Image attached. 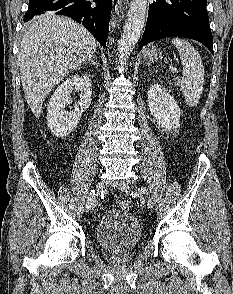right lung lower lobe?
Returning a JSON list of instances; mask_svg holds the SVG:
<instances>
[{
  "label": "right lung lower lobe",
  "instance_id": "1",
  "mask_svg": "<svg viewBox=\"0 0 233 294\" xmlns=\"http://www.w3.org/2000/svg\"><path fill=\"white\" fill-rule=\"evenodd\" d=\"M93 2L88 0H29L24 22L44 13L65 15L84 25L105 47L112 3L111 0H93Z\"/></svg>",
  "mask_w": 233,
  "mask_h": 294
}]
</instances>
